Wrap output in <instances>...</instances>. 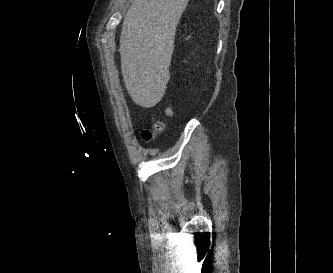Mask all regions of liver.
<instances>
[{
    "mask_svg": "<svg viewBox=\"0 0 333 273\" xmlns=\"http://www.w3.org/2000/svg\"><path fill=\"white\" fill-rule=\"evenodd\" d=\"M189 0H133L120 37L121 69L132 100L144 108L163 98L176 27Z\"/></svg>",
    "mask_w": 333,
    "mask_h": 273,
    "instance_id": "obj_1",
    "label": "liver"
}]
</instances>
